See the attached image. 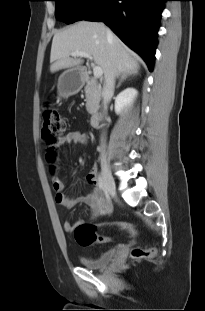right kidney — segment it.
Returning a JSON list of instances; mask_svg holds the SVG:
<instances>
[{
	"label": "right kidney",
	"instance_id": "obj_1",
	"mask_svg": "<svg viewBox=\"0 0 205 311\" xmlns=\"http://www.w3.org/2000/svg\"><path fill=\"white\" fill-rule=\"evenodd\" d=\"M138 91L135 88L129 87L120 92L115 99V112L121 114L133 104Z\"/></svg>",
	"mask_w": 205,
	"mask_h": 311
}]
</instances>
